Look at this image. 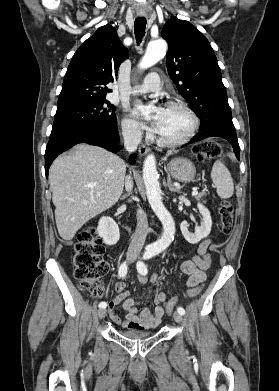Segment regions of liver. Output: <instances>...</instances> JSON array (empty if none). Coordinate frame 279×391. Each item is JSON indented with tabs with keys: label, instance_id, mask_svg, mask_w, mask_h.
Returning <instances> with one entry per match:
<instances>
[{
	"label": "liver",
	"instance_id": "obj_1",
	"mask_svg": "<svg viewBox=\"0 0 279 391\" xmlns=\"http://www.w3.org/2000/svg\"><path fill=\"white\" fill-rule=\"evenodd\" d=\"M125 162L98 146L78 144L49 170L59 235L70 241L90 219L111 208L124 187Z\"/></svg>",
	"mask_w": 279,
	"mask_h": 391
}]
</instances>
